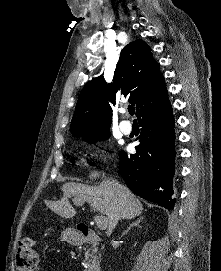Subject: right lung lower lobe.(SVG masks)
Segmentation results:
<instances>
[{
    "label": "right lung lower lobe",
    "instance_id": "right-lung-lower-lobe-1",
    "mask_svg": "<svg viewBox=\"0 0 221 271\" xmlns=\"http://www.w3.org/2000/svg\"><path fill=\"white\" fill-rule=\"evenodd\" d=\"M142 126L136 154L121 151L119 170L126 185L138 196L172 209L175 134L172 107L165 103L139 119Z\"/></svg>",
    "mask_w": 221,
    "mask_h": 271
}]
</instances>
